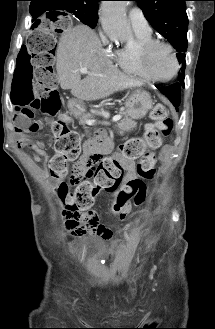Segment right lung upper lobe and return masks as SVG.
I'll use <instances>...</instances> for the list:
<instances>
[{
	"label": "right lung upper lobe",
	"instance_id": "right-lung-upper-lobe-1",
	"mask_svg": "<svg viewBox=\"0 0 215 329\" xmlns=\"http://www.w3.org/2000/svg\"><path fill=\"white\" fill-rule=\"evenodd\" d=\"M31 4L38 5V9L31 13L33 19H36L41 14L46 11H51L56 13V10H63L62 5L70 4H80L84 6L86 15L94 20H98V1L100 0H30Z\"/></svg>",
	"mask_w": 215,
	"mask_h": 329
}]
</instances>
